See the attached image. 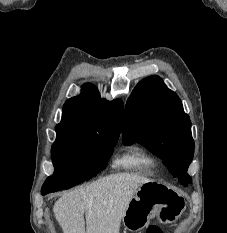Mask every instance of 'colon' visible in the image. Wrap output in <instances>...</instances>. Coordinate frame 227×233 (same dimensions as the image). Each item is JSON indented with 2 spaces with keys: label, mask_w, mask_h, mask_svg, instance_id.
<instances>
[{
  "label": "colon",
  "mask_w": 227,
  "mask_h": 233,
  "mask_svg": "<svg viewBox=\"0 0 227 233\" xmlns=\"http://www.w3.org/2000/svg\"><path fill=\"white\" fill-rule=\"evenodd\" d=\"M145 233H162L161 230L156 226H149Z\"/></svg>",
  "instance_id": "5ec220e1"
}]
</instances>
